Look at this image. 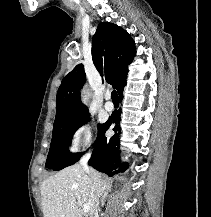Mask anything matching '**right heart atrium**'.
<instances>
[{
	"label": "right heart atrium",
	"instance_id": "right-heart-atrium-1",
	"mask_svg": "<svg viewBox=\"0 0 211 217\" xmlns=\"http://www.w3.org/2000/svg\"><path fill=\"white\" fill-rule=\"evenodd\" d=\"M93 143L92 126L85 122L80 124L72 133L69 147L71 151L90 147Z\"/></svg>",
	"mask_w": 211,
	"mask_h": 217
}]
</instances>
